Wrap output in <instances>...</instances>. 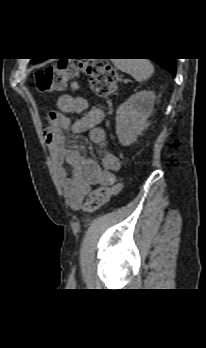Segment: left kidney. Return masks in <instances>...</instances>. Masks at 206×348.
Listing matches in <instances>:
<instances>
[{
    "instance_id": "5707ae66",
    "label": "left kidney",
    "mask_w": 206,
    "mask_h": 348,
    "mask_svg": "<svg viewBox=\"0 0 206 348\" xmlns=\"http://www.w3.org/2000/svg\"><path fill=\"white\" fill-rule=\"evenodd\" d=\"M155 103L153 91L142 90L122 103L116 113V134L122 146H129L148 127Z\"/></svg>"
}]
</instances>
